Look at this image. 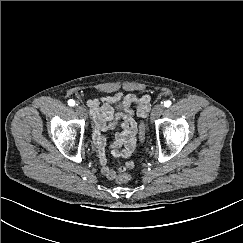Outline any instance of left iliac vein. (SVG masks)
Segmentation results:
<instances>
[{
  "label": "left iliac vein",
  "mask_w": 243,
  "mask_h": 243,
  "mask_svg": "<svg viewBox=\"0 0 243 243\" xmlns=\"http://www.w3.org/2000/svg\"><path fill=\"white\" fill-rule=\"evenodd\" d=\"M163 111H164V106L162 104L155 105L151 112V117H150L151 121H154L155 119L160 117Z\"/></svg>",
  "instance_id": "obj_1"
}]
</instances>
